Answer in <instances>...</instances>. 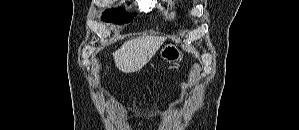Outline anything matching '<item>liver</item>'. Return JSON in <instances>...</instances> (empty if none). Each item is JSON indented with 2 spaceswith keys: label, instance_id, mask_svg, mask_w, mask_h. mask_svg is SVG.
Returning a JSON list of instances; mask_svg holds the SVG:
<instances>
[{
  "label": "liver",
  "instance_id": "liver-1",
  "mask_svg": "<svg viewBox=\"0 0 299 130\" xmlns=\"http://www.w3.org/2000/svg\"><path fill=\"white\" fill-rule=\"evenodd\" d=\"M165 37L143 36L128 40L113 53L117 68L125 73L136 72L146 65L165 41Z\"/></svg>",
  "mask_w": 299,
  "mask_h": 130
}]
</instances>
